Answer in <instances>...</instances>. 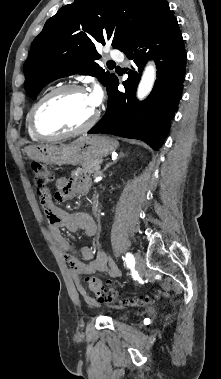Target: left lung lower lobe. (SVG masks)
Masks as SVG:
<instances>
[{
	"label": "left lung lower lobe",
	"instance_id": "left-lung-lower-lobe-1",
	"mask_svg": "<svg viewBox=\"0 0 221 379\" xmlns=\"http://www.w3.org/2000/svg\"><path fill=\"white\" fill-rule=\"evenodd\" d=\"M131 59L125 92L117 90L116 78L107 89L108 106L101 120L88 133H104L140 139L154 150L162 145L175 116L183 91L186 52L177 19L167 1L155 18L123 49ZM149 59L157 66V79L148 98L137 102L135 92L142 70Z\"/></svg>",
	"mask_w": 221,
	"mask_h": 379
}]
</instances>
